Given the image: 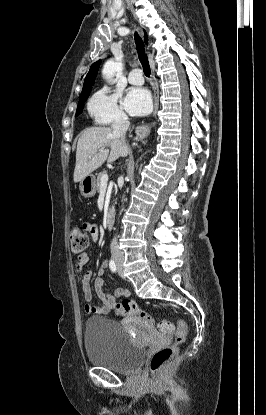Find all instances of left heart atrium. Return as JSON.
Masks as SVG:
<instances>
[{"label":"left heart atrium","mask_w":266,"mask_h":415,"mask_svg":"<svg viewBox=\"0 0 266 415\" xmlns=\"http://www.w3.org/2000/svg\"><path fill=\"white\" fill-rule=\"evenodd\" d=\"M126 110L132 115H143L151 109V97L143 88H133L127 93L124 100Z\"/></svg>","instance_id":"obj_1"}]
</instances>
